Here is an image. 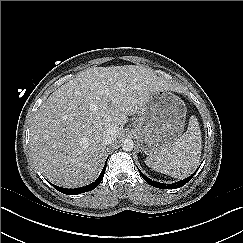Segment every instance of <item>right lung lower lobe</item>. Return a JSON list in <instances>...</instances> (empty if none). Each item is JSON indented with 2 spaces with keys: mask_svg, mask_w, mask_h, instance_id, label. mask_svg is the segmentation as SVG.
Masks as SVG:
<instances>
[{
  "mask_svg": "<svg viewBox=\"0 0 243 243\" xmlns=\"http://www.w3.org/2000/svg\"><path fill=\"white\" fill-rule=\"evenodd\" d=\"M106 164H107V162L105 163V166H104L100 176L97 178V180L95 182H93L92 184H90V185H87V186H84V187H80V188H75V189L62 188V187L55 186L53 184H52V186L56 190H58V191H60V192H62L64 194H67V195H77V194H80V193L91 191V190L95 189L100 184V182L102 181L104 173H105V170H106Z\"/></svg>",
  "mask_w": 243,
  "mask_h": 243,
  "instance_id": "obj_1",
  "label": "right lung lower lobe"
}]
</instances>
